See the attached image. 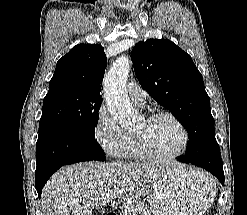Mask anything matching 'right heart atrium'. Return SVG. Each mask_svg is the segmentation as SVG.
Listing matches in <instances>:
<instances>
[{"label":"right heart atrium","mask_w":247,"mask_h":215,"mask_svg":"<svg viewBox=\"0 0 247 215\" xmlns=\"http://www.w3.org/2000/svg\"><path fill=\"white\" fill-rule=\"evenodd\" d=\"M93 135L107 155L114 158L122 156L126 143V132L119 127L105 106L98 109Z\"/></svg>","instance_id":"1"}]
</instances>
